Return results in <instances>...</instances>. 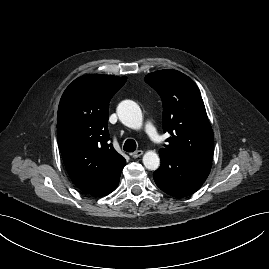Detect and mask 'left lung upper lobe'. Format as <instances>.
I'll return each instance as SVG.
<instances>
[{"mask_svg":"<svg viewBox=\"0 0 269 269\" xmlns=\"http://www.w3.org/2000/svg\"><path fill=\"white\" fill-rule=\"evenodd\" d=\"M163 102V130L171 134L170 151L205 162H212L214 136L197 85L185 74L171 69L145 76Z\"/></svg>","mask_w":269,"mask_h":269,"instance_id":"obj_1","label":"left lung upper lobe"}]
</instances>
